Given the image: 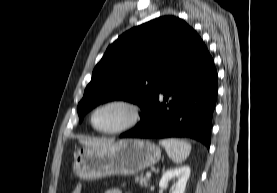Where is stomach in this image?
Segmentation results:
<instances>
[{
  "mask_svg": "<svg viewBox=\"0 0 277 193\" xmlns=\"http://www.w3.org/2000/svg\"><path fill=\"white\" fill-rule=\"evenodd\" d=\"M160 149L153 142L124 139L101 148L84 147L74 154L73 172L83 180L114 175H134L156 164Z\"/></svg>",
  "mask_w": 277,
  "mask_h": 193,
  "instance_id": "stomach-1",
  "label": "stomach"
}]
</instances>
